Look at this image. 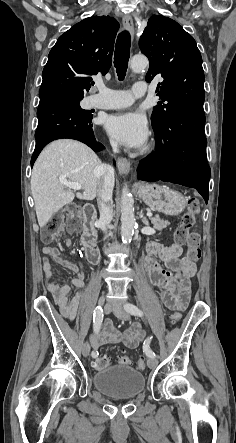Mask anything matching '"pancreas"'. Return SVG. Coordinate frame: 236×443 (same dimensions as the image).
Returning a JSON list of instances; mask_svg holds the SVG:
<instances>
[{"mask_svg":"<svg viewBox=\"0 0 236 443\" xmlns=\"http://www.w3.org/2000/svg\"><path fill=\"white\" fill-rule=\"evenodd\" d=\"M153 228L157 230H162L170 225V222L161 219L158 215L150 218Z\"/></svg>","mask_w":236,"mask_h":443,"instance_id":"1","label":"pancreas"}]
</instances>
